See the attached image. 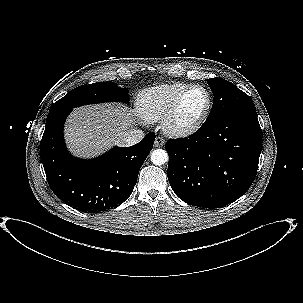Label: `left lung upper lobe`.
I'll return each instance as SVG.
<instances>
[{
    "label": "left lung upper lobe",
    "mask_w": 303,
    "mask_h": 303,
    "mask_svg": "<svg viewBox=\"0 0 303 303\" xmlns=\"http://www.w3.org/2000/svg\"><path fill=\"white\" fill-rule=\"evenodd\" d=\"M208 84L214 95V102L206 121L223 116L256 111L252 99L243 91L222 78L208 79Z\"/></svg>",
    "instance_id": "obj_1"
}]
</instances>
